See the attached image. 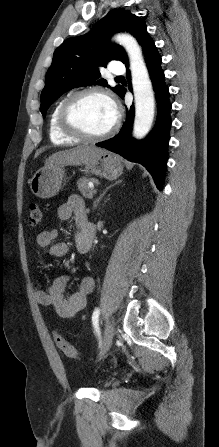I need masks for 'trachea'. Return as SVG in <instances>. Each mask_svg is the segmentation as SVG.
<instances>
[{
	"mask_svg": "<svg viewBox=\"0 0 219 447\" xmlns=\"http://www.w3.org/2000/svg\"><path fill=\"white\" fill-rule=\"evenodd\" d=\"M123 77L122 76H118V77H116V79H122Z\"/></svg>",
	"mask_w": 219,
	"mask_h": 447,
	"instance_id": "trachea-1",
	"label": "trachea"
}]
</instances>
